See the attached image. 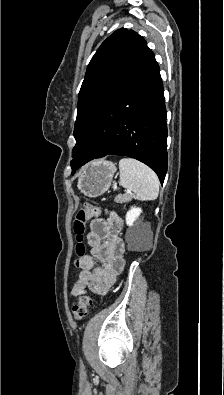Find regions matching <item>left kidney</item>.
<instances>
[{"instance_id": "1", "label": "left kidney", "mask_w": 224, "mask_h": 395, "mask_svg": "<svg viewBox=\"0 0 224 395\" xmlns=\"http://www.w3.org/2000/svg\"><path fill=\"white\" fill-rule=\"evenodd\" d=\"M142 213V209L139 207H131V209L126 214V224L128 226H132L134 222L138 219L140 214Z\"/></svg>"}]
</instances>
